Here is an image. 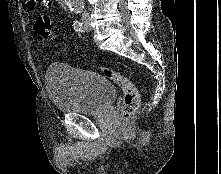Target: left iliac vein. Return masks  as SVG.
I'll use <instances>...</instances> for the list:
<instances>
[{
	"mask_svg": "<svg viewBox=\"0 0 221 174\" xmlns=\"http://www.w3.org/2000/svg\"><path fill=\"white\" fill-rule=\"evenodd\" d=\"M84 30L86 32H89L91 30V27H90L89 22H88L87 19L84 21Z\"/></svg>",
	"mask_w": 221,
	"mask_h": 174,
	"instance_id": "1",
	"label": "left iliac vein"
}]
</instances>
